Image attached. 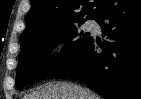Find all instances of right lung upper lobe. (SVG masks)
Masks as SVG:
<instances>
[{
    "instance_id": "right-lung-upper-lobe-1",
    "label": "right lung upper lobe",
    "mask_w": 141,
    "mask_h": 99,
    "mask_svg": "<svg viewBox=\"0 0 141 99\" xmlns=\"http://www.w3.org/2000/svg\"><path fill=\"white\" fill-rule=\"evenodd\" d=\"M114 0H32L22 43L82 23L97 19L113 6ZM82 9L81 11H79ZM83 17H86L83 20Z\"/></svg>"
}]
</instances>
